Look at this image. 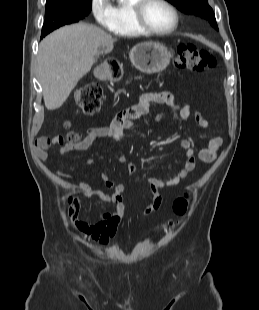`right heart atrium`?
<instances>
[{"label": "right heart atrium", "mask_w": 259, "mask_h": 310, "mask_svg": "<svg viewBox=\"0 0 259 310\" xmlns=\"http://www.w3.org/2000/svg\"><path fill=\"white\" fill-rule=\"evenodd\" d=\"M90 10L95 22L108 27L112 20V5L109 0H90Z\"/></svg>", "instance_id": "1"}]
</instances>
